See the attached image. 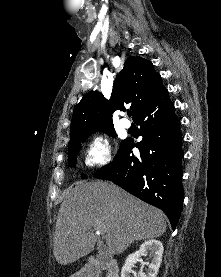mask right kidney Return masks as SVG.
<instances>
[{"instance_id": "obj_1", "label": "right kidney", "mask_w": 221, "mask_h": 277, "mask_svg": "<svg viewBox=\"0 0 221 277\" xmlns=\"http://www.w3.org/2000/svg\"><path fill=\"white\" fill-rule=\"evenodd\" d=\"M163 250L164 248L160 241L154 239L145 241L140 246L138 251L130 254L126 258L125 264L121 270V277H131V273H133V267L136 262L141 256H146L148 252L151 259V262L148 266L149 268L146 273L141 269L138 277H156L162 262Z\"/></svg>"}]
</instances>
